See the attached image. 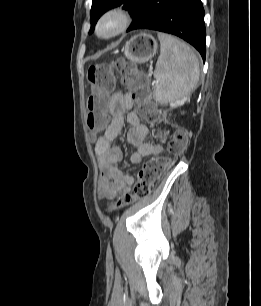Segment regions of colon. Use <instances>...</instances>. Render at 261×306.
Returning a JSON list of instances; mask_svg holds the SVG:
<instances>
[{
  "instance_id": "obj_1",
  "label": "colon",
  "mask_w": 261,
  "mask_h": 306,
  "mask_svg": "<svg viewBox=\"0 0 261 306\" xmlns=\"http://www.w3.org/2000/svg\"><path fill=\"white\" fill-rule=\"evenodd\" d=\"M114 69L119 71L121 83L130 93L131 99L141 105L142 116L148 121H152L154 118L150 89L145 78L134 65L124 60L96 64L91 66L87 72L90 94L87 99L88 112L86 119L92 131H100L107 124L105 113L108 95L115 84ZM186 145L187 134L181 130L174 132L167 143L168 154H158L143 163L138 173V181L134 186L133 194L121 196L116 201L114 208L119 209L138 199L147 197L151 186L161 177L172 161L183 153Z\"/></svg>"
}]
</instances>
